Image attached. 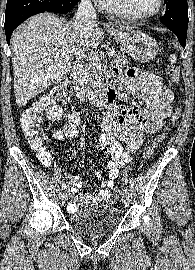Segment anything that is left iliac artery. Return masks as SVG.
<instances>
[{"instance_id":"left-iliac-artery-1","label":"left iliac artery","mask_w":195,"mask_h":270,"mask_svg":"<svg viewBox=\"0 0 195 270\" xmlns=\"http://www.w3.org/2000/svg\"><path fill=\"white\" fill-rule=\"evenodd\" d=\"M124 192H125V194H127L129 196V192H128L127 188L124 189Z\"/></svg>"}]
</instances>
